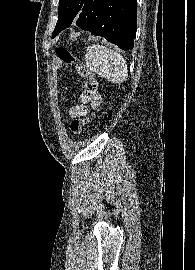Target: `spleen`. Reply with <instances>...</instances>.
Returning <instances> with one entry per match:
<instances>
[{
    "mask_svg": "<svg viewBox=\"0 0 195 270\" xmlns=\"http://www.w3.org/2000/svg\"><path fill=\"white\" fill-rule=\"evenodd\" d=\"M85 62L91 72L97 73L112 83H122L128 78L126 60L103 45H89L85 55Z\"/></svg>",
    "mask_w": 195,
    "mask_h": 270,
    "instance_id": "spleen-1",
    "label": "spleen"
}]
</instances>
